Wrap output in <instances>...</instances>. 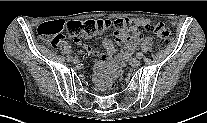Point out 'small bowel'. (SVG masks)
Returning <instances> with one entry per match:
<instances>
[{
    "instance_id": "c3829d8e",
    "label": "small bowel",
    "mask_w": 207,
    "mask_h": 123,
    "mask_svg": "<svg viewBox=\"0 0 207 123\" xmlns=\"http://www.w3.org/2000/svg\"><path fill=\"white\" fill-rule=\"evenodd\" d=\"M114 31L117 43L123 46L119 58L124 57L127 59L143 40L144 35L141 32L129 33L128 31L119 30L117 28H114ZM76 43L84 49L87 55H97V52L92 47L83 43L80 39H78ZM102 45L106 50V54L101 56V60L103 62H111L116 51L114 42L110 38H104L102 40Z\"/></svg>"
}]
</instances>
